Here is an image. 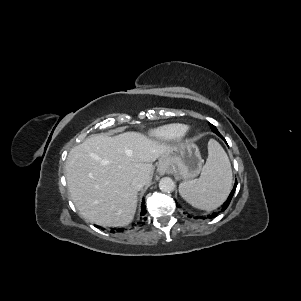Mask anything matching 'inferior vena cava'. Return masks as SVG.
Listing matches in <instances>:
<instances>
[{
    "label": "inferior vena cava",
    "instance_id": "1",
    "mask_svg": "<svg viewBox=\"0 0 301 301\" xmlns=\"http://www.w3.org/2000/svg\"><path fill=\"white\" fill-rule=\"evenodd\" d=\"M145 185V180L143 177L141 176H137L133 179L132 181V186L134 187V189H136L137 191H139L143 186Z\"/></svg>",
    "mask_w": 301,
    "mask_h": 301
}]
</instances>
